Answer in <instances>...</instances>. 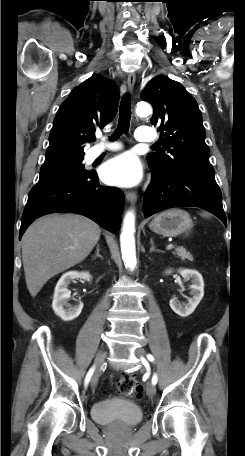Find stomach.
<instances>
[{
  "instance_id": "1",
  "label": "stomach",
  "mask_w": 245,
  "mask_h": 456,
  "mask_svg": "<svg viewBox=\"0 0 245 456\" xmlns=\"http://www.w3.org/2000/svg\"><path fill=\"white\" fill-rule=\"evenodd\" d=\"M192 227L193 222L189 213L177 208L159 213L149 224L153 232L167 237L187 233Z\"/></svg>"
}]
</instances>
